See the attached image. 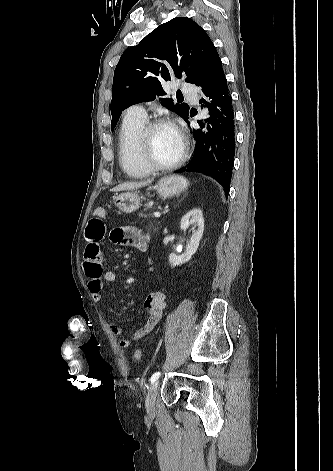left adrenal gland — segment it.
<instances>
[{
    "label": "left adrenal gland",
    "instance_id": "a2214340",
    "mask_svg": "<svg viewBox=\"0 0 333 471\" xmlns=\"http://www.w3.org/2000/svg\"><path fill=\"white\" fill-rule=\"evenodd\" d=\"M185 196H186V194H185ZM185 196H184V197H185ZM184 197H183V198H184ZM183 198H182L180 201H182V200H183Z\"/></svg>",
    "mask_w": 333,
    "mask_h": 471
}]
</instances>
